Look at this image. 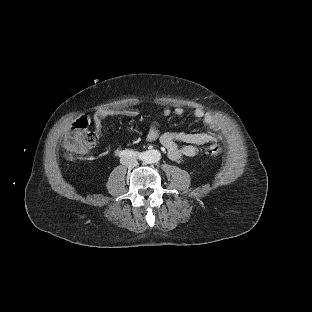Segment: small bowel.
<instances>
[{
	"label": "small bowel",
	"instance_id": "1",
	"mask_svg": "<svg viewBox=\"0 0 312 312\" xmlns=\"http://www.w3.org/2000/svg\"><path fill=\"white\" fill-rule=\"evenodd\" d=\"M172 113L177 116H183L185 109L182 106H176L173 109L165 107L162 110L163 117H169ZM115 115L134 118L139 116V111L136 109H113L97 113L94 117L97 133L102 132L103 119ZM193 115L205 124L208 128L207 131L196 133L185 131L161 132L158 122L153 121L148 126L146 140L150 143L159 141L167 156L172 160L195 155L197 146L214 143L219 140L220 122L214 114L205 111L201 107L194 108ZM179 144H183V146H179Z\"/></svg>",
	"mask_w": 312,
	"mask_h": 312
}]
</instances>
